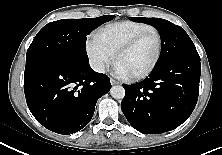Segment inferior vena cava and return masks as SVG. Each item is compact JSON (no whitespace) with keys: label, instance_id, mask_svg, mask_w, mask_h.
<instances>
[{"label":"inferior vena cava","instance_id":"obj_1","mask_svg":"<svg viewBox=\"0 0 222 155\" xmlns=\"http://www.w3.org/2000/svg\"><path fill=\"white\" fill-rule=\"evenodd\" d=\"M91 67L96 72L104 73L105 72V66L102 61L99 60H93L90 62Z\"/></svg>","mask_w":222,"mask_h":155}]
</instances>
